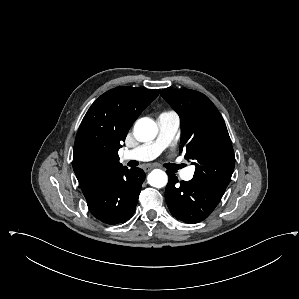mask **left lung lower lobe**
I'll list each match as a JSON object with an SVG mask.
<instances>
[{
  "mask_svg": "<svg viewBox=\"0 0 299 299\" xmlns=\"http://www.w3.org/2000/svg\"><path fill=\"white\" fill-rule=\"evenodd\" d=\"M165 198L171 214L186 223H198L207 218L220 202L223 192L206 182L192 179L181 181L168 172Z\"/></svg>",
  "mask_w": 299,
  "mask_h": 299,
  "instance_id": "0a47b994",
  "label": "left lung lower lobe"
}]
</instances>
